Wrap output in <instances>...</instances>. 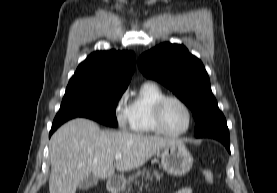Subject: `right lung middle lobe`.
<instances>
[{"label": "right lung middle lobe", "mask_w": 277, "mask_h": 193, "mask_svg": "<svg viewBox=\"0 0 277 193\" xmlns=\"http://www.w3.org/2000/svg\"><path fill=\"white\" fill-rule=\"evenodd\" d=\"M123 92L87 88L66 89L55 119L85 117L115 127V108Z\"/></svg>", "instance_id": "obj_1"}]
</instances>
